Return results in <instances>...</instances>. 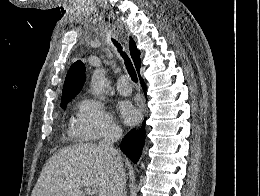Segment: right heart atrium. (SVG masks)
Here are the masks:
<instances>
[{
	"label": "right heart atrium",
	"instance_id": "1",
	"mask_svg": "<svg viewBox=\"0 0 260 196\" xmlns=\"http://www.w3.org/2000/svg\"><path fill=\"white\" fill-rule=\"evenodd\" d=\"M118 128L117 121L107 107L91 96L80 102L72 123V129L89 140L88 143H96L95 140H98L103 132Z\"/></svg>",
	"mask_w": 260,
	"mask_h": 196
}]
</instances>
